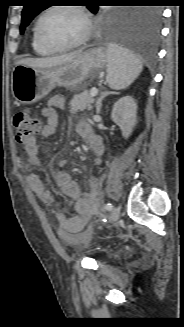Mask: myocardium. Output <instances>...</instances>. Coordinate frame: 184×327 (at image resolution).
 Here are the masks:
<instances>
[{"label":"myocardium","mask_w":184,"mask_h":327,"mask_svg":"<svg viewBox=\"0 0 184 327\" xmlns=\"http://www.w3.org/2000/svg\"><path fill=\"white\" fill-rule=\"evenodd\" d=\"M57 9H69L74 12H76L83 20L85 25V31L84 34L75 42L65 45H56L48 41L43 33H42V22L46 15H48L50 12L57 10ZM35 33L38 41L47 49L54 51V52H61V51H67L71 49H75L77 47L82 46L85 44L88 39L90 38L92 34V23L90 20V17L88 13L85 11V9L79 5L74 4H58V5H52L46 8L38 17L36 24H35Z\"/></svg>","instance_id":"1"}]
</instances>
